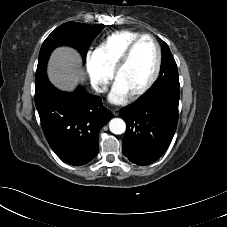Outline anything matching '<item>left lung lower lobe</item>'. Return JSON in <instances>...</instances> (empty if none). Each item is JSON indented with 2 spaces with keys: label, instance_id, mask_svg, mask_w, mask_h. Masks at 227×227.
<instances>
[{
  "label": "left lung lower lobe",
  "instance_id": "obj_1",
  "mask_svg": "<svg viewBox=\"0 0 227 227\" xmlns=\"http://www.w3.org/2000/svg\"><path fill=\"white\" fill-rule=\"evenodd\" d=\"M178 103L179 94L158 91L121 109L127 125L123 153L131 162L149 165L166 151L176 131Z\"/></svg>",
  "mask_w": 227,
  "mask_h": 227
}]
</instances>
